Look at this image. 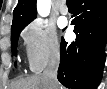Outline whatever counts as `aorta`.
Here are the masks:
<instances>
[{"mask_svg":"<svg viewBox=\"0 0 107 89\" xmlns=\"http://www.w3.org/2000/svg\"><path fill=\"white\" fill-rule=\"evenodd\" d=\"M51 1L50 0H38L37 1V11L42 17H47L50 13Z\"/></svg>","mask_w":107,"mask_h":89,"instance_id":"1","label":"aorta"}]
</instances>
